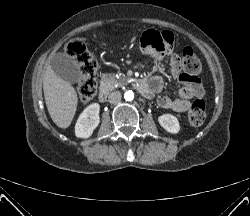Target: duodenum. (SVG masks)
<instances>
[{
  "mask_svg": "<svg viewBox=\"0 0 250 216\" xmlns=\"http://www.w3.org/2000/svg\"><path fill=\"white\" fill-rule=\"evenodd\" d=\"M134 86L145 97L152 95L151 89L145 81L138 80L134 82ZM110 94V87L107 84H102L99 90V100L105 102Z\"/></svg>",
  "mask_w": 250,
  "mask_h": 216,
  "instance_id": "1",
  "label": "duodenum"
}]
</instances>
